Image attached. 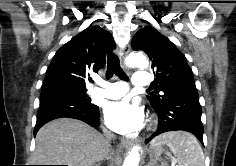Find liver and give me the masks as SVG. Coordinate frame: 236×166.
<instances>
[{
    "mask_svg": "<svg viewBox=\"0 0 236 166\" xmlns=\"http://www.w3.org/2000/svg\"><path fill=\"white\" fill-rule=\"evenodd\" d=\"M109 158L105 137L88 124L59 118L45 124L36 135L34 165L93 166Z\"/></svg>",
    "mask_w": 236,
    "mask_h": 166,
    "instance_id": "liver-1",
    "label": "liver"
}]
</instances>
